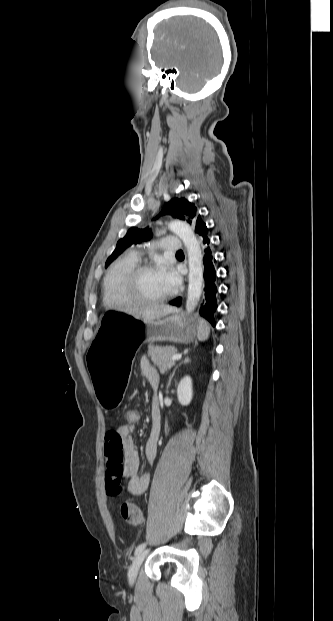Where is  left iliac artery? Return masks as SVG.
I'll use <instances>...</instances> for the list:
<instances>
[{"label":"left iliac artery","instance_id":"44dca946","mask_svg":"<svg viewBox=\"0 0 333 621\" xmlns=\"http://www.w3.org/2000/svg\"><path fill=\"white\" fill-rule=\"evenodd\" d=\"M145 547H146V543H141L140 545H138V547L135 550V555H138L140 552H142Z\"/></svg>","mask_w":333,"mask_h":621}]
</instances>
